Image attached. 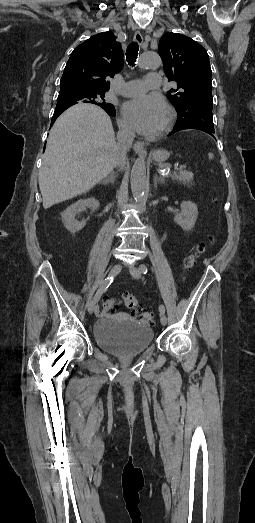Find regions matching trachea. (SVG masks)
Instances as JSON below:
<instances>
[{
    "mask_svg": "<svg viewBox=\"0 0 255 523\" xmlns=\"http://www.w3.org/2000/svg\"><path fill=\"white\" fill-rule=\"evenodd\" d=\"M139 46L136 42H131L126 50V60L129 65L133 66L138 56Z\"/></svg>",
    "mask_w": 255,
    "mask_h": 523,
    "instance_id": "trachea-1",
    "label": "trachea"
}]
</instances>
